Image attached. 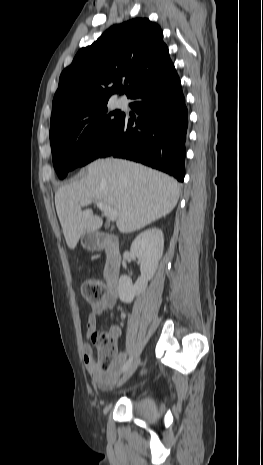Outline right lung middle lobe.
I'll return each instance as SVG.
<instances>
[{"label":"right lung middle lobe","instance_id":"obj_1","mask_svg":"<svg viewBox=\"0 0 263 465\" xmlns=\"http://www.w3.org/2000/svg\"><path fill=\"white\" fill-rule=\"evenodd\" d=\"M107 102L76 109L50 123L53 164L60 179L100 157L123 118L117 111L108 113Z\"/></svg>","mask_w":263,"mask_h":465}]
</instances>
